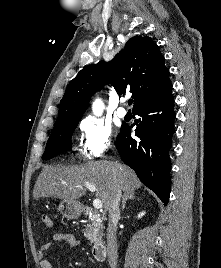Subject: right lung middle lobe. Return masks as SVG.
<instances>
[{
	"mask_svg": "<svg viewBox=\"0 0 221 268\" xmlns=\"http://www.w3.org/2000/svg\"><path fill=\"white\" fill-rule=\"evenodd\" d=\"M80 119L76 118L54 124L42 156L43 160L50 159L65 151H71V136Z\"/></svg>",
	"mask_w": 221,
	"mask_h": 268,
	"instance_id": "1",
	"label": "right lung middle lobe"
}]
</instances>
